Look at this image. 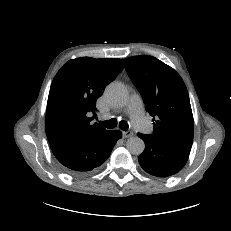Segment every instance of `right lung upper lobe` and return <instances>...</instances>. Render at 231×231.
Returning a JSON list of instances; mask_svg holds the SVG:
<instances>
[{
  "instance_id": "cb5924a9",
  "label": "right lung upper lobe",
  "mask_w": 231,
  "mask_h": 231,
  "mask_svg": "<svg viewBox=\"0 0 231 231\" xmlns=\"http://www.w3.org/2000/svg\"><path fill=\"white\" fill-rule=\"evenodd\" d=\"M123 69L121 59L81 57L68 61L54 77L45 129L49 143L74 140L106 130L92 123L96 100Z\"/></svg>"
}]
</instances>
